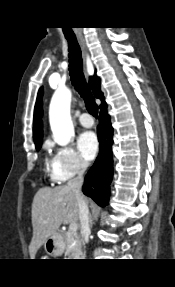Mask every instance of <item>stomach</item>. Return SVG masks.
<instances>
[{
    "label": "stomach",
    "mask_w": 175,
    "mask_h": 287,
    "mask_svg": "<svg viewBox=\"0 0 175 287\" xmlns=\"http://www.w3.org/2000/svg\"><path fill=\"white\" fill-rule=\"evenodd\" d=\"M44 249L51 256H59L65 249V240L60 233H54L44 242Z\"/></svg>",
    "instance_id": "stomach-1"
}]
</instances>
